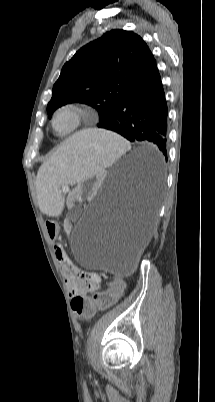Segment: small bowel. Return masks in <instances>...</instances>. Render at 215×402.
Returning <instances> with one entry per match:
<instances>
[{
    "label": "small bowel",
    "mask_w": 215,
    "mask_h": 402,
    "mask_svg": "<svg viewBox=\"0 0 215 402\" xmlns=\"http://www.w3.org/2000/svg\"><path fill=\"white\" fill-rule=\"evenodd\" d=\"M54 250L56 257L60 262L65 263L68 261V256L61 244L54 243ZM63 274L70 295H72L73 298L78 295L85 296L86 293L97 290L100 286L101 278L95 273H93L91 278L84 279L77 273L63 267Z\"/></svg>",
    "instance_id": "small-bowel-1"
}]
</instances>
